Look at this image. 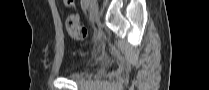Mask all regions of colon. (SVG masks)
<instances>
[{
  "instance_id": "obj_1",
  "label": "colon",
  "mask_w": 209,
  "mask_h": 90,
  "mask_svg": "<svg viewBox=\"0 0 209 90\" xmlns=\"http://www.w3.org/2000/svg\"><path fill=\"white\" fill-rule=\"evenodd\" d=\"M65 2L69 7L73 6V0H65ZM65 26L67 32L74 40L83 41L87 38V29L80 24V19L77 14L70 15L66 20Z\"/></svg>"
}]
</instances>
